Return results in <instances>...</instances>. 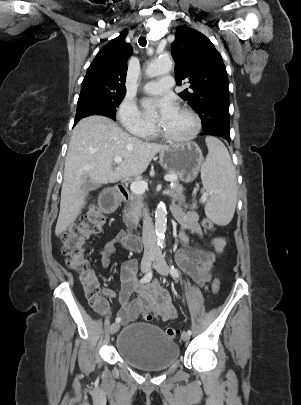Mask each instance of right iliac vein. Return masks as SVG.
Returning a JSON list of instances; mask_svg holds the SVG:
<instances>
[{
    "mask_svg": "<svg viewBox=\"0 0 301 405\" xmlns=\"http://www.w3.org/2000/svg\"><path fill=\"white\" fill-rule=\"evenodd\" d=\"M150 263H151L150 256H146L143 258V260L141 262V272L142 273L148 272V270L150 269ZM119 328H120L119 323H113L109 329L110 334H115L119 330Z\"/></svg>",
    "mask_w": 301,
    "mask_h": 405,
    "instance_id": "right-iliac-vein-1",
    "label": "right iliac vein"
}]
</instances>
